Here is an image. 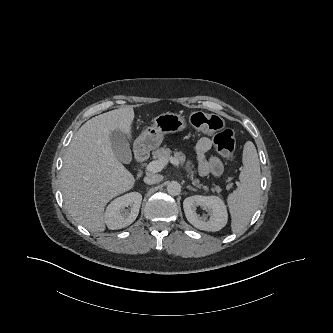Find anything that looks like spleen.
<instances>
[{
    "mask_svg": "<svg viewBox=\"0 0 333 333\" xmlns=\"http://www.w3.org/2000/svg\"><path fill=\"white\" fill-rule=\"evenodd\" d=\"M243 169L238 188L229 194L227 203L231 213L232 232L242 231L250 222L260 201V164L257 150L251 141L243 149Z\"/></svg>",
    "mask_w": 333,
    "mask_h": 333,
    "instance_id": "1",
    "label": "spleen"
}]
</instances>
